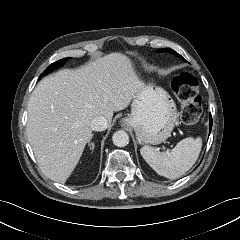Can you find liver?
I'll return each instance as SVG.
<instances>
[{"instance_id":"obj_1","label":"liver","mask_w":240,"mask_h":240,"mask_svg":"<svg viewBox=\"0 0 240 240\" xmlns=\"http://www.w3.org/2000/svg\"><path fill=\"white\" fill-rule=\"evenodd\" d=\"M131 60L111 53L42 79L28 102L27 137L41 171L65 183L92 138L90 122L127 108L142 87Z\"/></svg>"}]
</instances>
